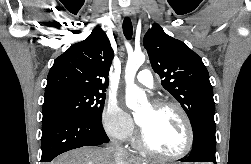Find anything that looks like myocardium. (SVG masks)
Listing matches in <instances>:
<instances>
[{"label":"myocardium","mask_w":251,"mask_h":164,"mask_svg":"<svg viewBox=\"0 0 251 164\" xmlns=\"http://www.w3.org/2000/svg\"><path fill=\"white\" fill-rule=\"evenodd\" d=\"M153 107L155 108H172L175 111H177V113L180 115L184 125H185V129H186V133H187V140H186V145L184 147V149L177 153V154H166V153H162L158 150H156L155 148H153L146 140L145 137V133L142 129V127L139 125V131H138V138H137V142L139 147L145 151L146 153L161 158V159H165V160H178L183 158L184 156H186L193 148L194 145V130H193V126L191 123V120L188 116V114L186 113V111L183 109V107L173 101H169V100H155L152 104Z\"/></svg>","instance_id":"f54148a6"}]
</instances>
